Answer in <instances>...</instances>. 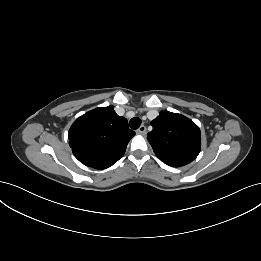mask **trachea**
I'll return each instance as SVG.
<instances>
[{
	"label": "trachea",
	"instance_id": "1",
	"mask_svg": "<svg viewBox=\"0 0 261 261\" xmlns=\"http://www.w3.org/2000/svg\"><path fill=\"white\" fill-rule=\"evenodd\" d=\"M129 125H130L131 129L136 130V129H138V128L140 127V125H141V119L138 118V117H134V118H132V119L130 120Z\"/></svg>",
	"mask_w": 261,
	"mask_h": 261
}]
</instances>
